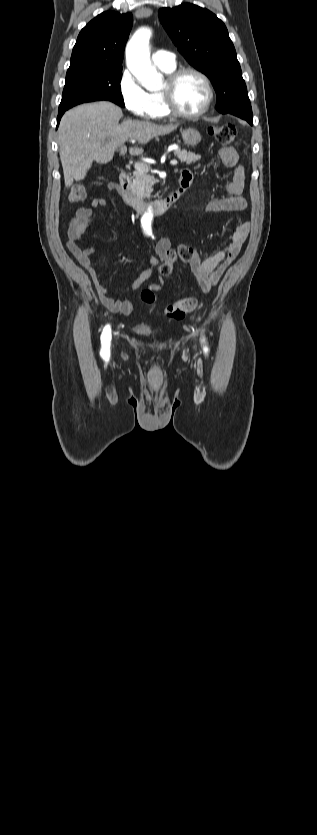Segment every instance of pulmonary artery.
<instances>
[{"label":"pulmonary artery","mask_w":317,"mask_h":835,"mask_svg":"<svg viewBox=\"0 0 317 835\" xmlns=\"http://www.w3.org/2000/svg\"><path fill=\"white\" fill-rule=\"evenodd\" d=\"M153 63L159 68H171L175 66V55L167 50H157L152 54Z\"/></svg>","instance_id":"obj_1"}]
</instances>
